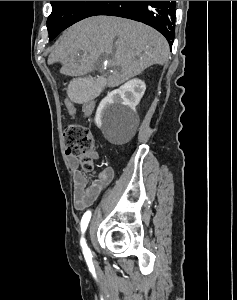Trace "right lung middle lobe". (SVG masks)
<instances>
[{"instance_id":"obj_1","label":"right lung middle lobe","mask_w":237,"mask_h":300,"mask_svg":"<svg viewBox=\"0 0 237 300\" xmlns=\"http://www.w3.org/2000/svg\"><path fill=\"white\" fill-rule=\"evenodd\" d=\"M105 1H50L52 13L47 19L49 39L53 40L60 32L74 23L93 16Z\"/></svg>"}]
</instances>
